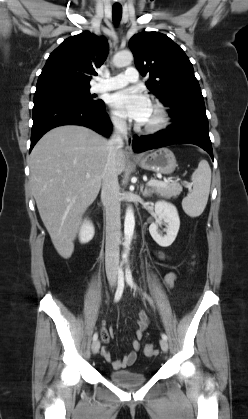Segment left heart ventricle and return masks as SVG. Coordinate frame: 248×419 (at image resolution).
<instances>
[{
    "label": "left heart ventricle",
    "instance_id": "obj_1",
    "mask_svg": "<svg viewBox=\"0 0 248 419\" xmlns=\"http://www.w3.org/2000/svg\"><path fill=\"white\" fill-rule=\"evenodd\" d=\"M156 119V113L154 111V109L152 108V106L150 107L149 110V114L148 117L146 118V120L143 122V124H149L152 123L154 120Z\"/></svg>",
    "mask_w": 248,
    "mask_h": 419
}]
</instances>
